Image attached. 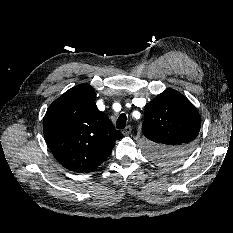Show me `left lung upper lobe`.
I'll return each instance as SVG.
<instances>
[{
    "mask_svg": "<svg viewBox=\"0 0 233 233\" xmlns=\"http://www.w3.org/2000/svg\"><path fill=\"white\" fill-rule=\"evenodd\" d=\"M201 126L200 115L179 92L167 89L144 109L147 155L164 165L177 164L191 153Z\"/></svg>",
    "mask_w": 233,
    "mask_h": 233,
    "instance_id": "5c2ea615",
    "label": "left lung upper lobe"
}]
</instances>
